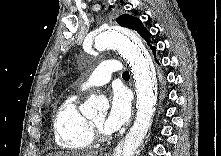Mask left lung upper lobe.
<instances>
[{
    "label": "left lung upper lobe",
    "instance_id": "1",
    "mask_svg": "<svg viewBox=\"0 0 221 156\" xmlns=\"http://www.w3.org/2000/svg\"><path fill=\"white\" fill-rule=\"evenodd\" d=\"M117 22L120 26L135 30L150 46V49L155 53L156 48L152 45L151 34L144 27L139 18L131 16L129 14H123L117 18Z\"/></svg>",
    "mask_w": 221,
    "mask_h": 156
}]
</instances>
